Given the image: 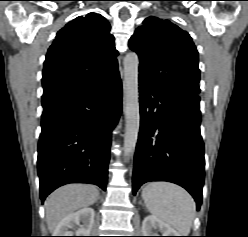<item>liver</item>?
<instances>
[{"label":"liver","instance_id":"liver-1","mask_svg":"<svg viewBox=\"0 0 248 237\" xmlns=\"http://www.w3.org/2000/svg\"><path fill=\"white\" fill-rule=\"evenodd\" d=\"M98 189L88 184H70L55 190L45 201L46 220L51 233L69 214L94 204Z\"/></svg>","mask_w":248,"mask_h":237}]
</instances>
